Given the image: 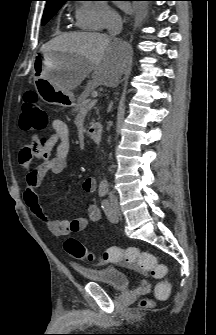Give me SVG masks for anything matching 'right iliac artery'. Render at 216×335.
Instances as JSON below:
<instances>
[{"instance_id":"1","label":"right iliac artery","mask_w":216,"mask_h":335,"mask_svg":"<svg viewBox=\"0 0 216 335\" xmlns=\"http://www.w3.org/2000/svg\"><path fill=\"white\" fill-rule=\"evenodd\" d=\"M107 193V185L106 184H100L99 186V195L101 197L105 196Z\"/></svg>"}]
</instances>
